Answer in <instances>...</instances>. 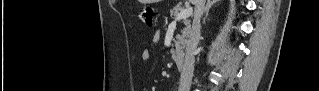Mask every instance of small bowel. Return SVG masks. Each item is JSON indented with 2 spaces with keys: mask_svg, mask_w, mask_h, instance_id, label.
<instances>
[{
  "mask_svg": "<svg viewBox=\"0 0 319 91\" xmlns=\"http://www.w3.org/2000/svg\"><path fill=\"white\" fill-rule=\"evenodd\" d=\"M153 39H155V37H153ZM151 58V54H150V51L148 50H145L143 51L142 55H141V59L144 61V62H147L149 61Z\"/></svg>",
  "mask_w": 319,
  "mask_h": 91,
  "instance_id": "obj_1",
  "label": "small bowel"
}]
</instances>
